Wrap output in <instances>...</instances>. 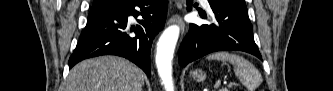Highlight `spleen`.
Listing matches in <instances>:
<instances>
[{"instance_id": "spleen-1", "label": "spleen", "mask_w": 333, "mask_h": 91, "mask_svg": "<svg viewBox=\"0 0 333 91\" xmlns=\"http://www.w3.org/2000/svg\"><path fill=\"white\" fill-rule=\"evenodd\" d=\"M206 58L230 62L234 66L235 75L249 91H254L262 83V76L255 66L239 55L221 51L210 54Z\"/></svg>"}]
</instances>
